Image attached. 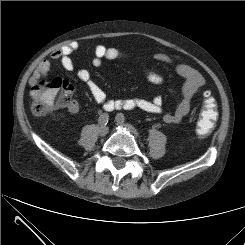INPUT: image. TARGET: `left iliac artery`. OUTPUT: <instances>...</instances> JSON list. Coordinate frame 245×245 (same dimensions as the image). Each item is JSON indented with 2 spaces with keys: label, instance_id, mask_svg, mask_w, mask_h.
Returning <instances> with one entry per match:
<instances>
[{
  "label": "left iliac artery",
  "instance_id": "44dca946",
  "mask_svg": "<svg viewBox=\"0 0 245 245\" xmlns=\"http://www.w3.org/2000/svg\"><path fill=\"white\" fill-rule=\"evenodd\" d=\"M119 118H121V119H125V117H124V114H122V113H119L118 115H117Z\"/></svg>",
  "mask_w": 245,
  "mask_h": 245
}]
</instances>
